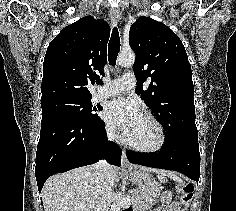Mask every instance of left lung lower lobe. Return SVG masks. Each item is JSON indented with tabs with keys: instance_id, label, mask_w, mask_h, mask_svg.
Returning a JSON list of instances; mask_svg holds the SVG:
<instances>
[{
	"instance_id": "0a47b994",
	"label": "left lung lower lobe",
	"mask_w": 236,
	"mask_h": 211,
	"mask_svg": "<svg viewBox=\"0 0 236 211\" xmlns=\"http://www.w3.org/2000/svg\"><path fill=\"white\" fill-rule=\"evenodd\" d=\"M127 159L134 164L174 170L199 181L200 153L198 138L175 137L165 139L164 147L153 153L126 151Z\"/></svg>"
}]
</instances>
